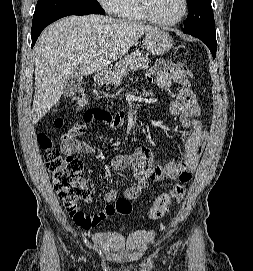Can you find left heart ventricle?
Listing matches in <instances>:
<instances>
[{
  "instance_id": "1",
  "label": "left heart ventricle",
  "mask_w": 253,
  "mask_h": 271,
  "mask_svg": "<svg viewBox=\"0 0 253 271\" xmlns=\"http://www.w3.org/2000/svg\"><path fill=\"white\" fill-rule=\"evenodd\" d=\"M154 15L163 21H171L179 17L183 9L182 0H150Z\"/></svg>"
}]
</instances>
